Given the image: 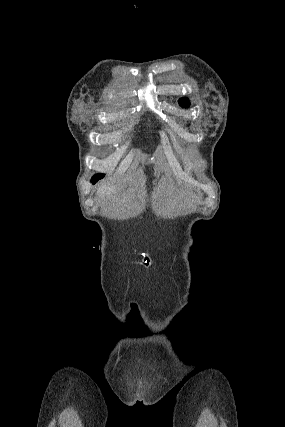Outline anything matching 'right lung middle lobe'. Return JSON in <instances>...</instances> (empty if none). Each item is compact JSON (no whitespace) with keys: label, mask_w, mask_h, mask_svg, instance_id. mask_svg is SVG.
Returning a JSON list of instances; mask_svg holds the SVG:
<instances>
[{"label":"right lung middle lobe","mask_w":285,"mask_h":427,"mask_svg":"<svg viewBox=\"0 0 285 427\" xmlns=\"http://www.w3.org/2000/svg\"><path fill=\"white\" fill-rule=\"evenodd\" d=\"M103 177H104V174H97L93 177V179L98 181L99 179H101Z\"/></svg>","instance_id":"dd1d6c3e"}]
</instances>
